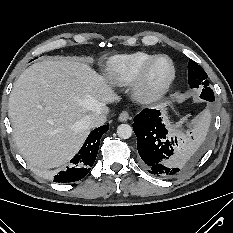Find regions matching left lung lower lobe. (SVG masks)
<instances>
[{"mask_svg":"<svg viewBox=\"0 0 233 233\" xmlns=\"http://www.w3.org/2000/svg\"><path fill=\"white\" fill-rule=\"evenodd\" d=\"M211 92L212 89L206 88L204 96L208 98ZM160 115L156 109H144L134 117L133 129L138 138V153L149 173L168 178L196 162L202 148L170 139Z\"/></svg>","mask_w":233,"mask_h":233,"instance_id":"0a47b994","label":"left lung lower lobe"}]
</instances>
